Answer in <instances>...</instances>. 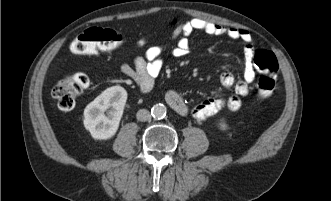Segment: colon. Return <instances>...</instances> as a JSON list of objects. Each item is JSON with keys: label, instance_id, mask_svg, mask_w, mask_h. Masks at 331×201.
Instances as JSON below:
<instances>
[{"label": "colon", "instance_id": "obj_1", "mask_svg": "<svg viewBox=\"0 0 331 201\" xmlns=\"http://www.w3.org/2000/svg\"><path fill=\"white\" fill-rule=\"evenodd\" d=\"M124 37L109 28L92 27L86 29L71 43V51L79 55H92L108 52L124 43ZM254 63L260 71L257 82V96L268 98L275 87L278 64L274 54L260 50L254 55ZM89 79L85 73L76 72L64 76L52 90V95L62 110L72 109L80 94L88 87Z\"/></svg>", "mask_w": 331, "mask_h": 201}]
</instances>
